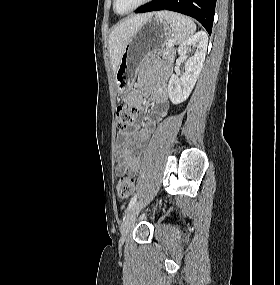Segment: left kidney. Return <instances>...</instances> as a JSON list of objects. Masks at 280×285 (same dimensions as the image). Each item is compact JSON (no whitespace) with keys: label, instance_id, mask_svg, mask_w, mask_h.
I'll list each match as a JSON object with an SVG mask.
<instances>
[{"label":"left kidney","instance_id":"5707ae66","mask_svg":"<svg viewBox=\"0 0 280 285\" xmlns=\"http://www.w3.org/2000/svg\"><path fill=\"white\" fill-rule=\"evenodd\" d=\"M208 37L205 32L200 31L185 40L178 48L179 60H186L185 72L181 77L173 74L168 84V95L173 104L185 101L201 72L206 56ZM192 52V56L189 54Z\"/></svg>","mask_w":280,"mask_h":285}]
</instances>
